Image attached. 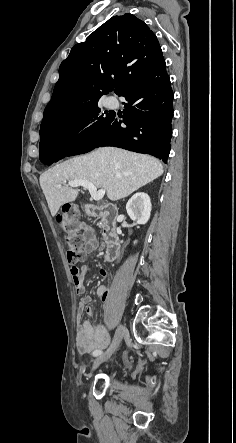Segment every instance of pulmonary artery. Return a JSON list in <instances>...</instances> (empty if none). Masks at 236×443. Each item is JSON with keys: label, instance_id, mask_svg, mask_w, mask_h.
Segmentation results:
<instances>
[{"label": "pulmonary artery", "instance_id": "pulmonary-artery-1", "mask_svg": "<svg viewBox=\"0 0 236 443\" xmlns=\"http://www.w3.org/2000/svg\"><path fill=\"white\" fill-rule=\"evenodd\" d=\"M105 104L108 108H114L117 105V101L113 97H109L106 99Z\"/></svg>", "mask_w": 236, "mask_h": 443}]
</instances>
